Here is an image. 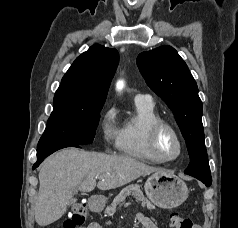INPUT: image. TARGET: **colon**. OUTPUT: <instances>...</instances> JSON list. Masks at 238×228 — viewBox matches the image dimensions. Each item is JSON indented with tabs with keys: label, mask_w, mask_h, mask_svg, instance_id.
Masks as SVG:
<instances>
[{
	"label": "colon",
	"mask_w": 238,
	"mask_h": 228,
	"mask_svg": "<svg viewBox=\"0 0 238 228\" xmlns=\"http://www.w3.org/2000/svg\"><path fill=\"white\" fill-rule=\"evenodd\" d=\"M88 211L83 203L73 205L71 212L64 222V228H77L87 219ZM172 228H199L188 217L173 213L170 218Z\"/></svg>",
	"instance_id": "1"
}]
</instances>
